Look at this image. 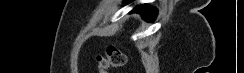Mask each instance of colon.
Segmentation results:
<instances>
[{
    "label": "colon",
    "instance_id": "1",
    "mask_svg": "<svg viewBox=\"0 0 244 73\" xmlns=\"http://www.w3.org/2000/svg\"><path fill=\"white\" fill-rule=\"evenodd\" d=\"M100 73H108L109 70L125 65L126 56L123 51L115 45L109 44L105 47L104 54L96 57Z\"/></svg>",
    "mask_w": 244,
    "mask_h": 73
}]
</instances>
